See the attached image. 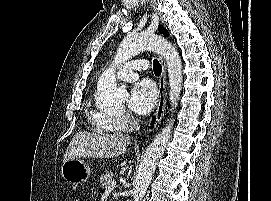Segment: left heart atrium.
<instances>
[{
    "label": "left heart atrium",
    "instance_id": "obj_1",
    "mask_svg": "<svg viewBox=\"0 0 271 201\" xmlns=\"http://www.w3.org/2000/svg\"><path fill=\"white\" fill-rule=\"evenodd\" d=\"M157 102V91L153 84L147 81L134 85L130 91L128 107L141 115H146Z\"/></svg>",
    "mask_w": 271,
    "mask_h": 201
}]
</instances>
